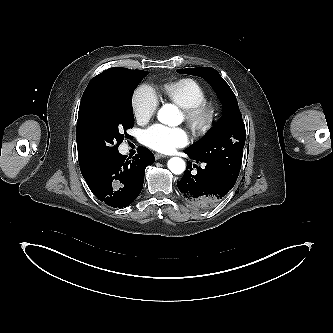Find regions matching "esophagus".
<instances>
[{"label":"esophagus","instance_id":"esophagus-1","mask_svg":"<svg viewBox=\"0 0 333 333\" xmlns=\"http://www.w3.org/2000/svg\"><path fill=\"white\" fill-rule=\"evenodd\" d=\"M166 156L165 155H162V154H159V153H156L155 154V159L156 160H159V159H161V158H165Z\"/></svg>","mask_w":333,"mask_h":333}]
</instances>
